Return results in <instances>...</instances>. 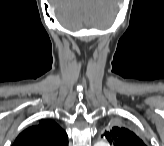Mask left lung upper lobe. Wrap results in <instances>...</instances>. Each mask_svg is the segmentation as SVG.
Returning <instances> with one entry per match:
<instances>
[{
    "label": "left lung upper lobe",
    "mask_w": 164,
    "mask_h": 146,
    "mask_svg": "<svg viewBox=\"0 0 164 146\" xmlns=\"http://www.w3.org/2000/svg\"><path fill=\"white\" fill-rule=\"evenodd\" d=\"M104 136L114 146H144L143 141L132 131L124 127H113Z\"/></svg>",
    "instance_id": "left-lung-upper-lobe-1"
}]
</instances>
